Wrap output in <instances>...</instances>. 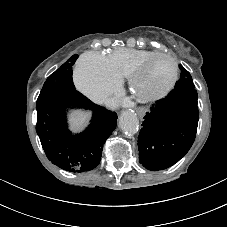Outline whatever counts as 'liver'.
<instances>
[{
    "label": "liver",
    "instance_id": "obj_1",
    "mask_svg": "<svg viewBox=\"0 0 227 227\" xmlns=\"http://www.w3.org/2000/svg\"><path fill=\"white\" fill-rule=\"evenodd\" d=\"M89 115L78 111L69 115L70 127L74 131L80 130L87 122Z\"/></svg>",
    "mask_w": 227,
    "mask_h": 227
}]
</instances>
